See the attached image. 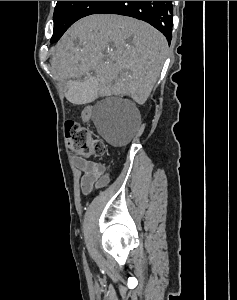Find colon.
<instances>
[{"instance_id": "1", "label": "colon", "mask_w": 237, "mask_h": 300, "mask_svg": "<svg viewBox=\"0 0 237 300\" xmlns=\"http://www.w3.org/2000/svg\"><path fill=\"white\" fill-rule=\"evenodd\" d=\"M65 136L69 148L79 157H99L105 153V144L93 136L88 128L76 122H68Z\"/></svg>"}]
</instances>
